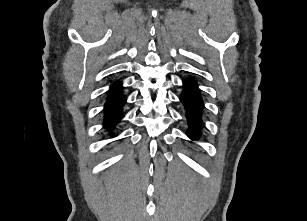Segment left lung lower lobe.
<instances>
[{
    "label": "left lung lower lobe",
    "mask_w": 307,
    "mask_h": 221,
    "mask_svg": "<svg viewBox=\"0 0 307 221\" xmlns=\"http://www.w3.org/2000/svg\"><path fill=\"white\" fill-rule=\"evenodd\" d=\"M184 90L180 100L187 110V119L190 128L187 135L190 138H196L199 134V123L203 101L199 95L197 85L193 79H187L183 82Z\"/></svg>",
    "instance_id": "1"
}]
</instances>
